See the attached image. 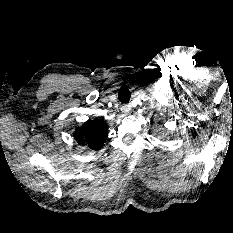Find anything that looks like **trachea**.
<instances>
[{
  "label": "trachea",
  "mask_w": 233,
  "mask_h": 233,
  "mask_svg": "<svg viewBox=\"0 0 233 233\" xmlns=\"http://www.w3.org/2000/svg\"><path fill=\"white\" fill-rule=\"evenodd\" d=\"M130 99V95H122V94H119V100L122 102V103H127Z\"/></svg>",
  "instance_id": "trachea-1"
}]
</instances>
